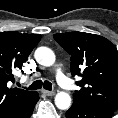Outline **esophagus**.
I'll return each mask as SVG.
<instances>
[{
	"label": "esophagus",
	"instance_id": "1",
	"mask_svg": "<svg viewBox=\"0 0 118 118\" xmlns=\"http://www.w3.org/2000/svg\"><path fill=\"white\" fill-rule=\"evenodd\" d=\"M42 92H43L46 96H53V95H55V92H54V91L42 90Z\"/></svg>",
	"mask_w": 118,
	"mask_h": 118
}]
</instances>
